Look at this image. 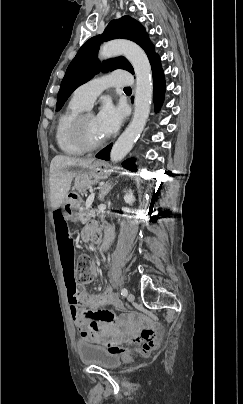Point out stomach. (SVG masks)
<instances>
[{"label": "stomach", "instance_id": "0dacf381", "mask_svg": "<svg viewBox=\"0 0 243 404\" xmlns=\"http://www.w3.org/2000/svg\"><path fill=\"white\" fill-rule=\"evenodd\" d=\"M110 173L108 164L102 160H94L88 167L76 171L75 186L78 190L98 183L105 179ZM79 207V202L67 197L63 202V209L71 220H77L75 210Z\"/></svg>", "mask_w": 243, "mask_h": 404}]
</instances>
